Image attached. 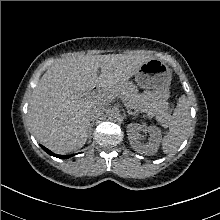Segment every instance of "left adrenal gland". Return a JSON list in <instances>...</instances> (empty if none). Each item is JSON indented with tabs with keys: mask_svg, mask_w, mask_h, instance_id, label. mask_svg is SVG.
Returning <instances> with one entry per match:
<instances>
[{
	"mask_svg": "<svg viewBox=\"0 0 220 220\" xmlns=\"http://www.w3.org/2000/svg\"><path fill=\"white\" fill-rule=\"evenodd\" d=\"M128 114H129V115H136L135 112H131L130 110H128Z\"/></svg>",
	"mask_w": 220,
	"mask_h": 220,
	"instance_id": "1",
	"label": "left adrenal gland"
}]
</instances>
